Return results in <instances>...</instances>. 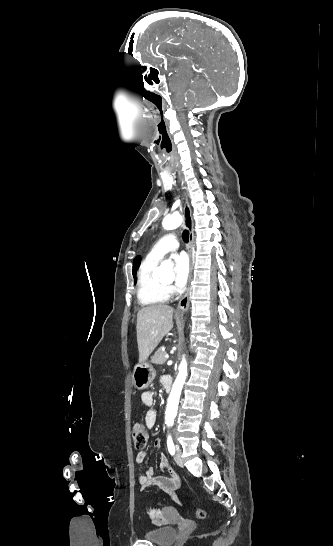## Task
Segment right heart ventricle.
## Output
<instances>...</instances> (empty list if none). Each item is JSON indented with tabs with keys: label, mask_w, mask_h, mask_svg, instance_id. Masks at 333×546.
Returning a JSON list of instances; mask_svg holds the SVG:
<instances>
[{
	"label": "right heart ventricle",
	"mask_w": 333,
	"mask_h": 546,
	"mask_svg": "<svg viewBox=\"0 0 333 546\" xmlns=\"http://www.w3.org/2000/svg\"><path fill=\"white\" fill-rule=\"evenodd\" d=\"M158 260L147 257L141 264L137 279V298L143 306L165 303L169 291L156 276Z\"/></svg>",
	"instance_id": "1"
}]
</instances>
